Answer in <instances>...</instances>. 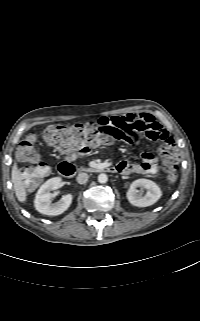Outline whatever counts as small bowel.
<instances>
[{
	"label": "small bowel",
	"instance_id": "obj_1",
	"mask_svg": "<svg viewBox=\"0 0 200 321\" xmlns=\"http://www.w3.org/2000/svg\"><path fill=\"white\" fill-rule=\"evenodd\" d=\"M99 123H115L121 132V139L127 143H133L138 134L143 132L147 140L163 143L161 153L173 144L170 134L149 113H128L120 117H103L99 120ZM69 158L74 159L75 155L70 154ZM115 168L122 175H155L159 166L158 159L151 152H144L141 156V162L128 163L121 161Z\"/></svg>",
	"mask_w": 200,
	"mask_h": 321
}]
</instances>
